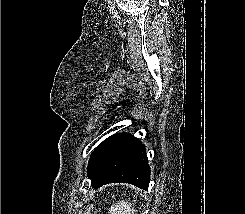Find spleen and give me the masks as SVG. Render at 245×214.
<instances>
[{
	"label": "spleen",
	"mask_w": 245,
	"mask_h": 214,
	"mask_svg": "<svg viewBox=\"0 0 245 214\" xmlns=\"http://www.w3.org/2000/svg\"><path fill=\"white\" fill-rule=\"evenodd\" d=\"M108 211V214H136L134 203L132 204L130 201L124 199L113 203Z\"/></svg>",
	"instance_id": "3e777b00"
}]
</instances>
